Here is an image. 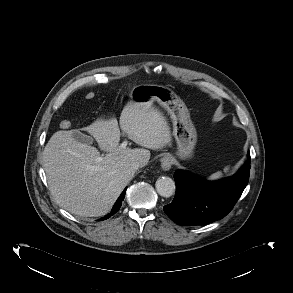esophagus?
Listing matches in <instances>:
<instances>
[{
    "mask_svg": "<svg viewBox=\"0 0 293 293\" xmlns=\"http://www.w3.org/2000/svg\"><path fill=\"white\" fill-rule=\"evenodd\" d=\"M161 168L165 171L169 170L172 166V158L170 156H164L160 160Z\"/></svg>",
    "mask_w": 293,
    "mask_h": 293,
    "instance_id": "obj_1",
    "label": "esophagus"
}]
</instances>
